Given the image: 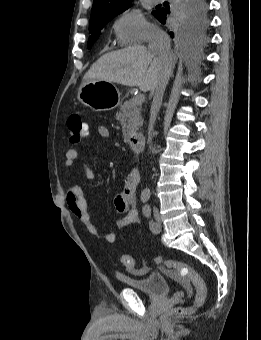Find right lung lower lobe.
Wrapping results in <instances>:
<instances>
[{
  "instance_id": "98d812e1",
  "label": "right lung lower lobe",
  "mask_w": 261,
  "mask_h": 340,
  "mask_svg": "<svg viewBox=\"0 0 261 340\" xmlns=\"http://www.w3.org/2000/svg\"><path fill=\"white\" fill-rule=\"evenodd\" d=\"M187 1H188V0H178V2H179L178 8H179L182 4L186 3ZM203 1H204L205 6H206V9H207L206 1H205V0H203ZM169 13H170V10H169V9H167V8H160V9L157 10V13H156L155 17H156L162 24H165V23H166V16H167ZM170 35H171V37L174 36V34H173L172 32L170 33Z\"/></svg>"
}]
</instances>
